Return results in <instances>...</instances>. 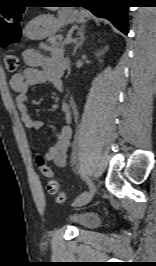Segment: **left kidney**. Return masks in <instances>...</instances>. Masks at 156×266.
I'll return each mask as SVG.
<instances>
[{
  "mask_svg": "<svg viewBox=\"0 0 156 266\" xmlns=\"http://www.w3.org/2000/svg\"><path fill=\"white\" fill-rule=\"evenodd\" d=\"M101 55V52L97 53V56L99 57Z\"/></svg>",
  "mask_w": 156,
  "mask_h": 266,
  "instance_id": "1",
  "label": "left kidney"
}]
</instances>
